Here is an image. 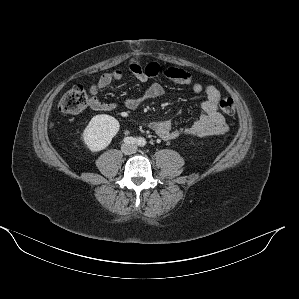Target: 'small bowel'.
Returning a JSON list of instances; mask_svg holds the SVG:
<instances>
[{"mask_svg":"<svg viewBox=\"0 0 299 299\" xmlns=\"http://www.w3.org/2000/svg\"><path fill=\"white\" fill-rule=\"evenodd\" d=\"M128 69L140 82L164 77L177 85L191 87L195 94H205L206 98L201 104L199 118L190 127L175 129L170 120L151 121L147 123V126L162 140H173L181 136L206 137L223 134L227 131V124L219 111L221 94L215 86H204L199 82H194L192 75L186 70L176 67H162L156 62H151L146 66L132 62ZM123 76L124 72L121 69L102 74L90 88V96L88 99L89 108L101 112L115 110L117 108L116 103L102 102L99 100L98 94L113 81L120 80ZM163 93V86L159 82H153L141 97H128L123 103L128 109H136L144 102L162 96Z\"/></svg>","mask_w":299,"mask_h":299,"instance_id":"small-bowel-1","label":"small bowel"}]
</instances>
